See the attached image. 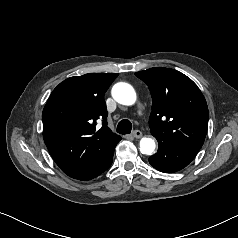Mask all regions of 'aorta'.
<instances>
[{"mask_svg": "<svg viewBox=\"0 0 238 238\" xmlns=\"http://www.w3.org/2000/svg\"><path fill=\"white\" fill-rule=\"evenodd\" d=\"M112 96L118 103L122 105H133L136 102V92L134 88L124 82L116 83L112 88ZM156 143L154 139L143 137L140 140V151L145 155H152L155 151Z\"/></svg>", "mask_w": 238, "mask_h": 238, "instance_id": "762f6f07", "label": "aorta"}]
</instances>
